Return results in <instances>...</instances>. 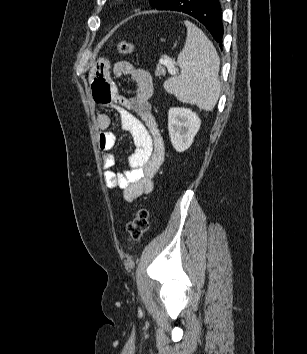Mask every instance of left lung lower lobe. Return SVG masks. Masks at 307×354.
Returning a JSON list of instances; mask_svg holds the SVG:
<instances>
[{"mask_svg": "<svg viewBox=\"0 0 307 354\" xmlns=\"http://www.w3.org/2000/svg\"><path fill=\"white\" fill-rule=\"evenodd\" d=\"M159 10L184 12L200 21L222 47L223 23L220 0H170Z\"/></svg>", "mask_w": 307, "mask_h": 354, "instance_id": "left-lung-lower-lobe-1", "label": "left lung lower lobe"}]
</instances>
